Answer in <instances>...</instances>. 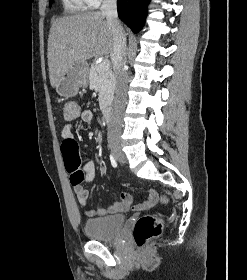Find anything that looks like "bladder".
Returning a JSON list of instances; mask_svg holds the SVG:
<instances>
[{
  "instance_id": "31cf9c89",
  "label": "bladder",
  "mask_w": 247,
  "mask_h": 280,
  "mask_svg": "<svg viewBox=\"0 0 247 280\" xmlns=\"http://www.w3.org/2000/svg\"><path fill=\"white\" fill-rule=\"evenodd\" d=\"M125 224L124 215H113L88 219L84 223V234L92 240L113 241L121 233Z\"/></svg>"
}]
</instances>
